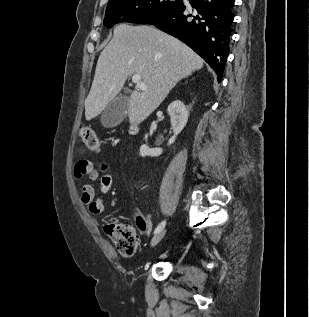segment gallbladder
<instances>
[{
	"mask_svg": "<svg viewBox=\"0 0 309 317\" xmlns=\"http://www.w3.org/2000/svg\"><path fill=\"white\" fill-rule=\"evenodd\" d=\"M127 111L128 97L126 95H119L104 109L100 119L101 124L107 128L115 127L123 121L126 117Z\"/></svg>",
	"mask_w": 309,
	"mask_h": 317,
	"instance_id": "gallbladder-1",
	"label": "gallbladder"
}]
</instances>
